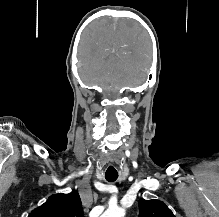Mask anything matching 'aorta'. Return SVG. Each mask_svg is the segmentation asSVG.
I'll return each mask as SVG.
<instances>
[{
	"label": "aorta",
	"instance_id": "aorta-1",
	"mask_svg": "<svg viewBox=\"0 0 219 217\" xmlns=\"http://www.w3.org/2000/svg\"><path fill=\"white\" fill-rule=\"evenodd\" d=\"M125 210L119 207L107 209L101 217H124Z\"/></svg>",
	"mask_w": 219,
	"mask_h": 217
}]
</instances>
